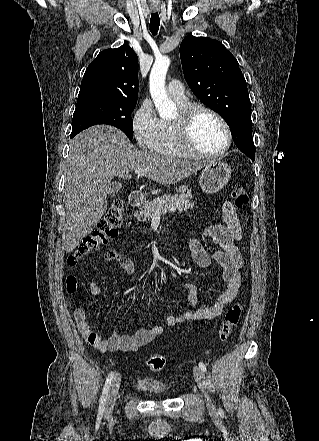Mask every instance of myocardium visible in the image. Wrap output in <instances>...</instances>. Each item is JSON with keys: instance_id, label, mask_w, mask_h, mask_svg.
<instances>
[{"instance_id": "1", "label": "myocardium", "mask_w": 319, "mask_h": 441, "mask_svg": "<svg viewBox=\"0 0 319 441\" xmlns=\"http://www.w3.org/2000/svg\"><path fill=\"white\" fill-rule=\"evenodd\" d=\"M207 113L217 119L226 133V144L217 152H203L199 150L192 141V128L196 118L202 114ZM175 132L176 140L180 148L188 155L197 158H215L223 155L228 151L232 144V132L228 122L217 111L203 105H190L181 109L177 118L172 122Z\"/></svg>"}]
</instances>
